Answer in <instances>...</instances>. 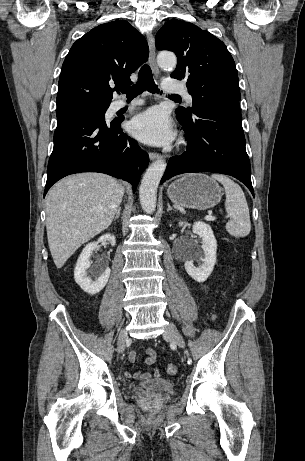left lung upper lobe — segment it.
<instances>
[{
  "instance_id": "obj_1",
  "label": "left lung upper lobe",
  "mask_w": 305,
  "mask_h": 461,
  "mask_svg": "<svg viewBox=\"0 0 305 461\" xmlns=\"http://www.w3.org/2000/svg\"><path fill=\"white\" fill-rule=\"evenodd\" d=\"M155 44L158 50L173 51L177 55V67L171 77L187 80L193 106L178 108V116L191 117L197 109L214 101L240 100L234 60L224 43L208 31L174 19L158 31Z\"/></svg>"
}]
</instances>
